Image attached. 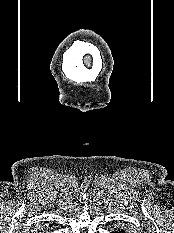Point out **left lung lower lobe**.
Here are the masks:
<instances>
[{"label": "left lung lower lobe", "instance_id": "1", "mask_svg": "<svg viewBox=\"0 0 174 233\" xmlns=\"http://www.w3.org/2000/svg\"><path fill=\"white\" fill-rule=\"evenodd\" d=\"M125 231L119 230V231H113L112 233H124Z\"/></svg>", "mask_w": 174, "mask_h": 233}]
</instances>
